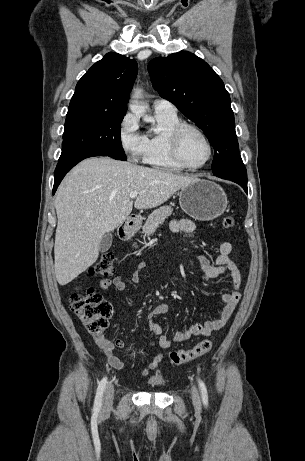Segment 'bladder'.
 <instances>
[{
    "label": "bladder",
    "mask_w": 305,
    "mask_h": 461,
    "mask_svg": "<svg viewBox=\"0 0 305 461\" xmlns=\"http://www.w3.org/2000/svg\"><path fill=\"white\" fill-rule=\"evenodd\" d=\"M147 384L153 388H160L165 384V378L162 375H156L149 378Z\"/></svg>",
    "instance_id": "obj_1"
}]
</instances>
